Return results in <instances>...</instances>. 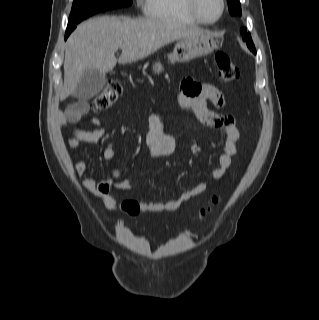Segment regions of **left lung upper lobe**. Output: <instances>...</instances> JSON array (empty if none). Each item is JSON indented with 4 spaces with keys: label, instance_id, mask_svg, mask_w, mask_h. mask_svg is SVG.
<instances>
[{
    "label": "left lung upper lobe",
    "instance_id": "left-lung-upper-lobe-1",
    "mask_svg": "<svg viewBox=\"0 0 319 320\" xmlns=\"http://www.w3.org/2000/svg\"><path fill=\"white\" fill-rule=\"evenodd\" d=\"M227 1H228V7H229L230 14L236 15V16H241L242 11H241L240 1L239 0H227ZM241 34L243 35L244 40H246L248 48L253 53H256L255 46H254L253 41L251 39L250 33L246 34V29L242 28Z\"/></svg>",
    "mask_w": 319,
    "mask_h": 320
}]
</instances>
